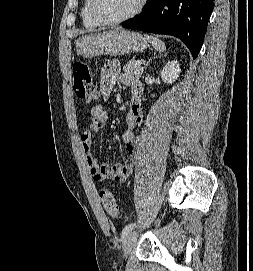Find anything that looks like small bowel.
Here are the masks:
<instances>
[{
    "label": "small bowel",
    "instance_id": "obj_1",
    "mask_svg": "<svg viewBox=\"0 0 253 271\" xmlns=\"http://www.w3.org/2000/svg\"><path fill=\"white\" fill-rule=\"evenodd\" d=\"M117 83L129 87L131 92L130 110L126 116L127 130L122 134V140L129 150V156L125 162L114 165H101L90 154L93 135L102 131L109 118L107 111L101 105H96L91 108V121L89 126L80 135L81 146L87 153L86 163L88 169L92 178L98 182L107 180L125 182L130 177L134 166L133 153L136 147L135 129L143 122L141 106L143 88L141 82L135 76L123 73L117 61L109 60L102 67L100 74L99 88L104 100L109 98Z\"/></svg>",
    "mask_w": 253,
    "mask_h": 271
}]
</instances>
